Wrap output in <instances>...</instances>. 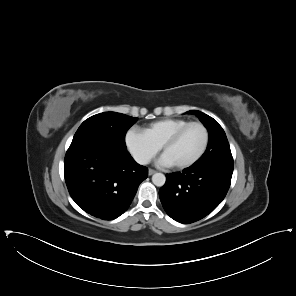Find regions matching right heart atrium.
I'll return each mask as SVG.
<instances>
[{"instance_id": "obj_1", "label": "right heart atrium", "mask_w": 296, "mask_h": 296, "mask_svg": "<svg viewBox=\"0 0 296 296\" xmlns=\"http://www.w3.org/2000/svg\"><path fill=\"white\" fill-rule=\"evenodd\" d=\"M125 143L133 157L141 164L149 163L160 149L143 131L136 127L127 132Z\"/></svg>"}]
</instances>
